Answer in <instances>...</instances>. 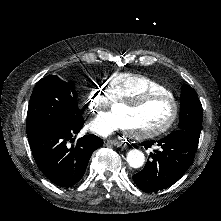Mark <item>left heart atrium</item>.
Masks as SVG:
<instances>
[{"label":"left heart atrium","instance_id":"39dd6f15","mask_svg":"<svg viewBox=\"0 0 221 221\" xmlns=\"http://www.w3.org/2000/svg\"><path fill=\"white\" fill-rule=\"evenodd\" d=\"M131 125V116L126 111L102 113L90 123V129L100 135L109 136L116 130H126Z\"/></svg>","mask_w":221,"mask_h":221}]
</instances>
